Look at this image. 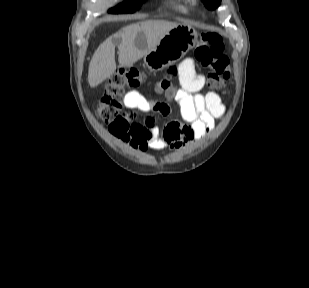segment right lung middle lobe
<instances>
[{"mask_svg":"<svg viewBox=\"0 0 309 288\" xmlns=\"http://www.w3.org/2000/svg\"><path fill=\"white\" fill-rule=\"evenodd\" d=\"M143 1L144 0H127L117 7L110 9L109 12L113 14L133 13L142 5Z\"/></svg>","mask_w":309,"mask_h":288,"instance_id":"1","label":"right lung middle lobe"}]
</instances>
